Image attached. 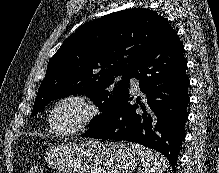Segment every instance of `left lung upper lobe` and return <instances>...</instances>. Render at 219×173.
Listing matches in <instances>:
<instances>
[{"label": "left lung upper lobe", "mask_w": 219, "mask_h": 173, "mask_svg": "<svg viewBox=\"0 0 219 173\" xmlns=\"http://www.w3.org/2000/svg\"><path fill=\"white\" fill-rule=\"evenodd\" d=\"M174 31L146 8L114 12L93 20L69 36L49 60L31 117L52 100L72 94L89 97L102 112L87 132L96 131L129 93V80L141 56ZM123 76L121 81L116 80Z\"/></svg>", "instance_id": "left-lung-upper-lobe-1"}]
</instances>
